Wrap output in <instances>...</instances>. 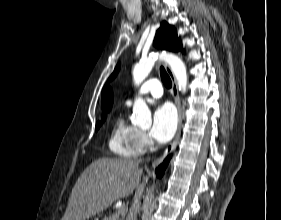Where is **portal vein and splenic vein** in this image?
Segmentation results:
<instances>
[{
  "label": "portal vein and splenic vein",
  "instance_id": "obj_1",
  "mask_svg": "<svg viewBox=\"0 0 281 220\" xmlns=\"http://www.w3.org/2000/svg\"><path fill=\"white\" fill-rule=\"evenodd\" d=\"M126 209L127 208L125 206H122V207H120L119 212L123 214V213H125Z\"/></svg>",
  "mask_w": 281,
  "mask_h": 220
}]
</instances>
